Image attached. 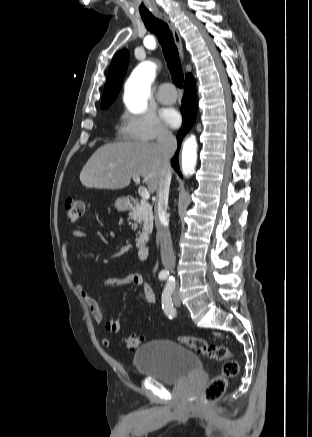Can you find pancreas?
<instances>
[{"label":"pancreas","mask_w":312,"mask_h":437,"mask_svg":"<svg viewBox=\"0 0 312 437\" xmlns=\"http://www.w3.org/2000/svg\"><path fill=\"white\" fill-rule=\"evenodd\" d=\"M129 218L134 221L132 229L136 230L138 224L141 225L142 233L139 234V238L136 239L137 245L143 246L148 241L149 234L153 230V211L152 206L145 200L141 201L133 212L129 213Z\"/></svg>","instance_id":"cf45deb5"}]
</instances>
